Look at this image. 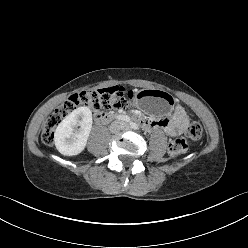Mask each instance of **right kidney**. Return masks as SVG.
<instances>
[{
	"mask_svg": "<svg viewBox=\"0 0 248 248\" xmlns=\"http://www.w3.org/2000/svg\"><path fill=\"white\" fill-rule=\"evenodd\" d=\"M91 128V110L88 107L75 109L56 128L54 142L57 150L66 156L80 154L87 145Z\"/></svg>",
	"mask_w": 248,
	"mask_h": 248,
	"instance_id": "1",
	"label": "right kidney"
}]
</instances>
